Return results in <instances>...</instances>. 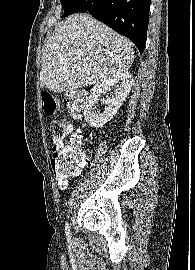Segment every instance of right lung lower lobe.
Instances as JSON below:
<instances>
[{
    "mask_svg": "<svg viewBox=\"0 0 195 270\" xmlns=\"http://www.w3.org/2000/svg\"><path fill=\"white\" fill-rule=\"evenodd\" d=\"M151 0H80L75 13L88 12L121 35L142 53L147 39Z\"/></svg>",
    "mask_w": 195,
    "mask_h": 270,
    "instance_id": "1",
    "label": "right lung lower lobe"
}]
</instances>
